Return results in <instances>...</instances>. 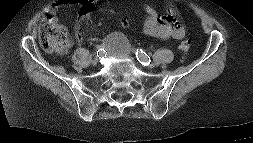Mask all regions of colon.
Here are the masks:
<instances>
[{
	"instance_id": "colon-1",
	"label": "colon",
	"mask_w": 253,
	"mask_h": 143,
	"mask_svg": "<svg viewBox=\"0 0 253 143\" xmlns=\"http://www.w3.org/2000/svg\"><path fill=\"white\" fill-rule=\"evenodd\" d=\"M39 42L41 47L47 52L63 53L68 45L67 29L57 22L46 21L40 28ZM190 47V39H186L180 44V50L184 55L189 51Z\"/></svg>"
}]
</instances>
